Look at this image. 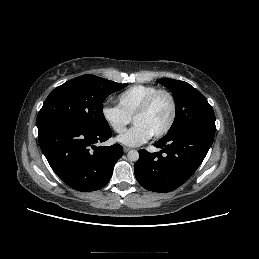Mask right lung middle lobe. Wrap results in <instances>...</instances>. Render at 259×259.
Segmentation results:
<instances>
[{
  "mask_svg": "<svg viewBox=\"0 0 259 259\" xmlns=\"http://www.w3.org/2000/svg\"><path fill=\"white\" fill-rule=\"evenodd\" d=\"M127 85L91 74L65 82L45 100L37 117L38 130L57 122H71L94 129L108 128L103 102Z\"/></svg>",
  "mask_w": 259,
  "mask_h": 259,
  "instance_id": "1",
  "label": "right lung middle lobe"
}]
</instances>
